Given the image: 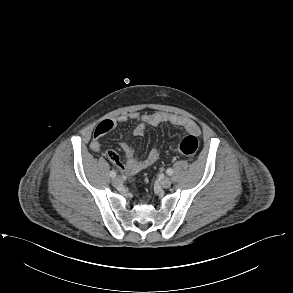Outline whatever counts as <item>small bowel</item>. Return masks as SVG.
Returning a JSON list of instances; mask_svg holds the SVG:
<instances>
[{"label": "small bowel", "mask_w": 293, "mask_h": 293, "mask_svg": "<svg viewBox=\"0 0 293 293\" xmlns=\"http://www.w3.org/2000/svg\"><path fill=\"white\" fill-rule=\"evenodd\" d=\"M140 120V123L135 127L133 134L136 137L144 135L146 127H158L161 124L168 123L176 127L183 128L188 133L193 135H200L201 131L199 126L191 119L184 116L170 114L165 112H155L140 116L138 113H125L116 117L106 118L102 120L93 133V138L90 147L93 151L97 152L101 148L100 139L116 128L118 125L124 124L129 120ZM121 150L125 154L127 161L123 163L118 154L113 150H108L105 156L110 160L118 169L124 171L128 175H134L141 170L154 164L159 158V152L156 148L150 149L147 156L139 160L134 155L133 148L127 143L120 144Z\"/></svg>", "instance_id": "obj_1"}]
</instances>
